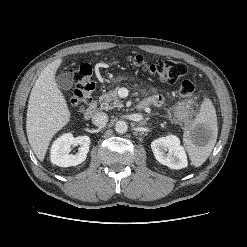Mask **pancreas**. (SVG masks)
I'll use <instances>...</instances> for the list:
<instances>
[{
    "instance_id": "pancreas-1",
    "label": "pancreas",
    "mask_w": 247,
    "mask_h": 247,
    "mask_svg": "<svg viewBox=\"0 0 247 247\" xmlns=\"http://www.w3.org/2000/svg\"><path fill=\"white\" fill-rule=\"evenodd\" d=\"M118 89L119 87H116L115 89H112L107 93L103 94L102 96H100L99 103L101 110L107 111L113 108L123 107V104L118 97Z\"/></svg>"
}]
</instances>
